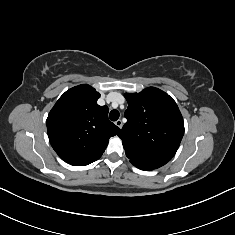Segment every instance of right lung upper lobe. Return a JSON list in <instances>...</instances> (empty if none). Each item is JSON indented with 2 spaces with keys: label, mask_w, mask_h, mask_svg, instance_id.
Returning a JSON list of instances; mask_svg holds the SVG:
<instances>
[{
  "label": "right lung upper lobe",
  "mask_w": 235,
  "mask_h": 235,
  "mask_svg": "<svg viewBox=\"0 0 235 235\" xmlns=\"http://www.w3.org/2000/svg\"><path fill=\"white\" fill-rule=\"evenodd\" d=\"M100 94L87 84L66 91L50 111L46 124L50 143L65 162L85 166L98 160L120 129L99 106Z\"/></svg>",
  "instance_id": "1"
}]
</instances>
